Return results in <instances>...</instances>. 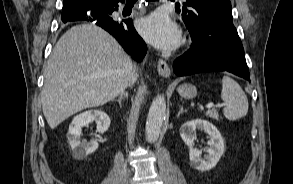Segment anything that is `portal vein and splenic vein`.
Here are the masks:
<instances>
[{
	"label": "portal vein and splenic vein",
	"mask_w": 293,
	"mask_h": 184,
	"mask_svg": "<svg viewBox=\"0 0 293 184\" xmlns=\"http://www.w3.org/2000/svg\"><path fill=\"white\" fill-rule=\"evenodd\" d=\"M224 105V104H223ZM214 107V104L211 102V103H208L207 105H206V108L207 109H211V108H213Z\"/></svg>",
	"instance_id": "portal-vein-and-splenic-vein-1"
}]
</instances>
